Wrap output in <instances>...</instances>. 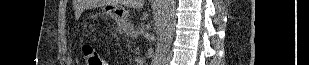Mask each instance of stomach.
<instances>
[{"mask_svg": "<svg viewBox=\"0 0 309 65\" xmlns=\"http://www.w3.org/2000/svg\"><path fill=\"white\" fill-rule=\"evenodd\" d=\"M118 26L123 27L128 24L127 11L122 5L107 4L102 8Z\"/></svg>", "mask_w": 309, "mask_h": 65, "instance_id": "1", "label": "stomach"}]
</instances>
